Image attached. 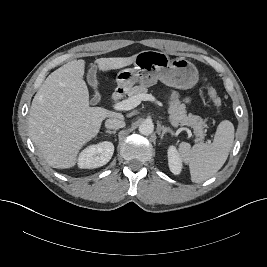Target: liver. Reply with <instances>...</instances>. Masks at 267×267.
Instances as JSON below:
<instances>
[{
    "instance_id": "obj_1",
    "label": "liver",
    "mask_w": 267,
    "mask_h": 267,
    "mask_svg": "<svg viewBox=\"0 0 267 267\" xmlns=\"http://www.w3.org/2000/svg\"><path fill=\"white\" fill-rule=\"evenodd\" d=\"M135 55L95 60L101 71L120 69L134 62ZM85 62L73 60L52 72L33 98L28 126L36 148L49 166L58 169L76 164L80 149L94 138L107 117L121 114L89 106L83 80Z\"/></svg>"
}]
</instances>
